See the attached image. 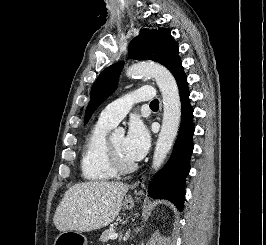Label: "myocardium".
I'll return each instance as SVG.
<instances>
[{
	"label": "myocardium",
	"instance_id": "f54148a6",
	"mask_svg": "<svg viewBox=\"0 0 266 245\" xmlns=\"http://www.w3.org/2000/svg\"><path fill=\"white\" fill-rule=\"evenodd\" d=\"M105 157H106V162L110 169L115 173L116 175H127L133 173L137 165L132 163L130 165H123L120 163L118 160L117 156L115 155L111 142L109 139L106 140L105 144Z\"/></svg>",
	"mask_w": 266,
	"mask_h": 245
}]
</instances>
